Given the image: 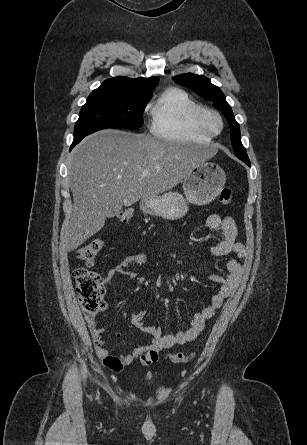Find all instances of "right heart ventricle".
<instances>
[{
    "instance_id": "e07e8e85",
    "label": "right heart ventricle",
    "mask_w": 307,
    "mask_h": 445,
    "mask_svg": "<svg viewBox=\"0 0 307 445\" xmlns=\"http://www.w3.org/2000/svg\"><path fill=\"white\" fill-rule=\"evenodd\" d=\"M151 132L163 139L209 140L202 108L186 93L169 89L149 101Z\"/></svg>"
}]
</instances>
